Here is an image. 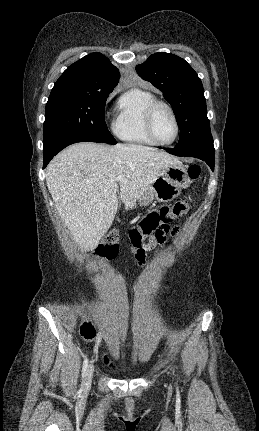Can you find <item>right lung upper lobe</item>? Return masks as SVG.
<instances>
[{
	"instance_id": "1",
	"label": "right lung upper lobe",
	"mask_w": 259,
	"mask_h": 431,
	"mask_svg": "<svg viewBox=\"0 0 259 431\" xmlns=\"http://www.w3.org/2000/svg\"><path fill=\"white\" fill-rule=\"evenodd\" d=\"M120 73L101 53H91L70 65L56 81L52 91L100 94L112 92Z\"/></svg>"
}]
</instances>
